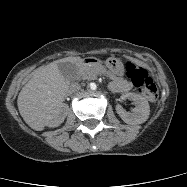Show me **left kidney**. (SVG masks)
Listing matches in <instances>:
<instances>
[{
    "mask_svg": "<svg viewBox=\"0 0 187 187\" xmlns=\"http://www.w3.org/2000/svg\"><path fill=\"white\" fill-rule=\"evenodd\" d=\"M122 99L132 100L136 105L132 113H128L123 110L121 106H117V112L125 123L141 124L148 119L150 107L148 101L144 97L136 93H126L122 95Z\"/></svg>",
    "mask_w": 187,
    "mask_h": 187,
    "instance_id": "5707ae66",
    "label": "left kidney"
}]
</instances>
